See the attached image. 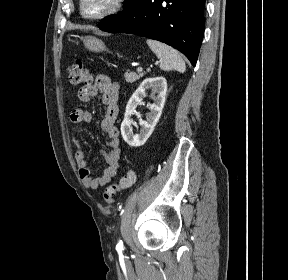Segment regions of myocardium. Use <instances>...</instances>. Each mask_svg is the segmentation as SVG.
Returning a JSON list of instances; mask_svg holds the SVG:
<instances>
[{
	"mask_svg": "<svg viewBox=\"0 0 288 280\" xmlns=\"http://www.w3.org/2000/svg\"><path fill=\"white\" fill-rule=\"evenodd\" d=\"M87 0H79V13L87 20H99L111 16L120 11L124 5L125 0H110L108 6L102 11L89 14L85 11V4Z\"/></svg>",
	"mask_w": 288,
	"mask_h": 280,
	"instance_id": "myocardium-1",
	"label": "myocardium"
}]
</instances>
